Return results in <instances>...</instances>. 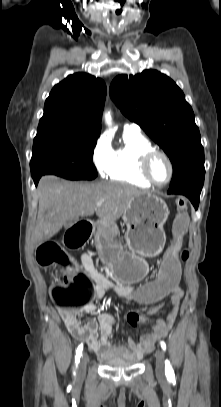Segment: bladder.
Wrapping results in <instances>:
<instances>
[{"instance_id":"1","label":"bladder","mask_w":221,"mask_h":407,"mask_svg":"<svg viewBox=\"0 0 221 407\" xmlns=\"http://www.w3.org/2000/svg\"><path fill=\"white\" fill-rule=\"evenodd\" d=\"M100 361L110 367H117V368H126L135 366L138 363V360H122V359H111V358H104L100 357Z\"/></svg>"}]
</instances>
